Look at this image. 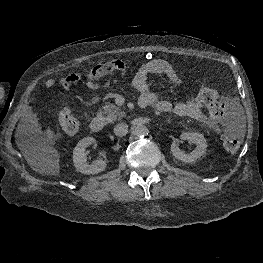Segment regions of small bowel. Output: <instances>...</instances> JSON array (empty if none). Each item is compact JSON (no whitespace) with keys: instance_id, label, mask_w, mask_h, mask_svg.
<instances>
[{"instance_id":"small-bowel-1","label":"small bowel","mask_w":263,"mask_h":263,"mask_svg":"<svg viewBox=\"0 0 263 263\" xmlns=\"http://www.w3.org/2000/svg\"><path fill=\"white\" fill-rule=\"evenodd\" d=\"M115 62L122 61L116 60L95 66L86 76V87L91 91H96V81L98 79L113 71H126L125 67L118 69ZM149 74H164L174 85L180 86L182 84L179 75L169 62L158 58L149 59L143 66H141L130 82L131 87L141 94L139 100L140 105H152L161 112H173L178 116L189 117L197 120L213 131L219 130V123L217 119L210 114H205L202 111L201 107L203 105L200 103L198 97L172 104L170 101L159 97L156 93H153L150 90V84L148 81ZM80 78L81 76L78 73H72L63 78L61 84L64 91L67 92L70 86L78 82ZM55 84L56 80L49 78L45 81L44 87L45 89H51L55 86ZM26 116L30 123L35 124L36 119L33 109H31ZM46 136L51 139L53 137V133L51 131H47Z\"/></svg>"}]
</instances>
